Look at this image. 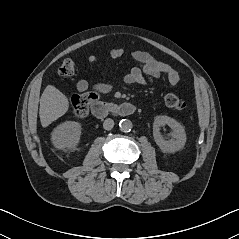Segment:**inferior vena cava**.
<instances>
[{
	"label": "inferior vena cava",
	"instance_id": "1",
	"mask_svg": "<svg viewBox=\"0 0 239 239\" xmlns=\"http://www.w3.org/2000/svg\"><path fill=\"white\" fill-rule=\"evenodd\" d=\"M103 127L105 130H111L114 127V121L111 118L105 119Z\"/></svg>",
	"mask_w": 239,
	"mask_h": 239
}]
</instances>
